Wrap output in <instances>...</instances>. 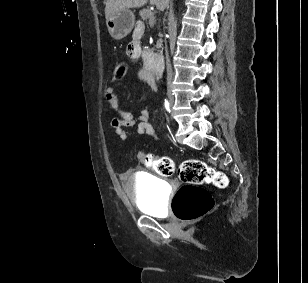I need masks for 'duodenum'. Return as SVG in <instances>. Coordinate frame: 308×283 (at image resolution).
I'll return each mask as SVG.
<instances>
[{
    "instance_id": "obj_1",
    "label": "duodenum",
    "mask_w": 308,
    "mask_h": 283,
    "mask_svg": "<svg viewBox=\"0 0 308 283\" xmlns=\"http://www.w3.org/2000/svg\"><path fill=\"white\" fill-rule=\"evenodd\" d=\"M151 50H145L143 55L145 56V62H149V68L151 70H163L165 66V56L162 53H152Z\"/></svg>"
}]
</instances>
